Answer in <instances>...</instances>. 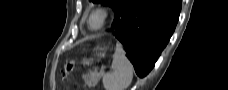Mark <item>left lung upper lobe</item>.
I'll list each match as a JSON object with an SVG mask.
<instances>
[{
    "label": "left lung upper lobe",
    "mask_w": 228,
    "mask_h": 90,
    "mask_svg": "<svg viewBox=\"0 0 228 90\" xmlns=\"http://www.w3.org/2000/svg\"><path fill=\"white\" fill-rule=\"evenodd\" d=\"M130 0H92L94 3H102L104 5L111 6L115 12V19L122 12V10L128 5Z\"/></svg>",
    "instance_id": "1"
}]
</instances>
